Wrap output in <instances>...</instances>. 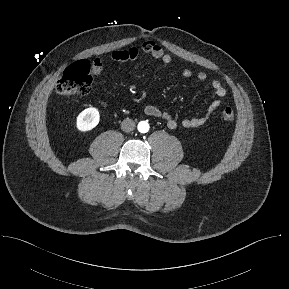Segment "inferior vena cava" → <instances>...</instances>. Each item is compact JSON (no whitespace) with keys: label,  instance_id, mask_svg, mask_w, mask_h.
<instances>
[{"label":"inferior vena cava","instance_id":"602c4592","mask_svg":"<svg viewBox=\"0 0 289 289\" xmlns=\"http://www.w3.org/2000/svg\"><path fill=\"white\" fill-rule=\"evenodd\" d=\"M135 128V122L132 119L126 118L121 123V129L124 132H131Z\"/></svg>","mask_w":289,"mask_h":289}]
</instances>
